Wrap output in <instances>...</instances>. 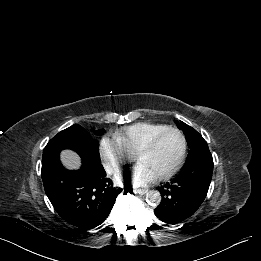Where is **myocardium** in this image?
Returning <instances> with one entry per match:
<instances>
[{
	"instance_id": "f54148a6",
	"label": "myocardium",
	"mask_w": 261,
	"mask_h": 261,
	"mask_svg": "<svg viewBox=\"0 0 261 261\" xmlns=\"http://www.w3.org/2000/svg\"><path fill=\"white\" fill-rule=\"evenodd\" d=\"M170 132H173V133H176L179 135L180 139H181V143H182V147H181V153H180V156H179V159L177 161V163L175 164V166L170 170L168 171L167 173L165 174H162L160 176H157L156 179L157 180H167V179H170L172 178L173 176H175L179 171L180 169L182 168L184 162H185V159H186V153H187V141H186V138L184 136V134L182 133V131H180L179 129L177 128H173V127H168L158 133H156L143 147H141L138 152L135 154V158L136 160L138 161L139 158L141 156H143L144 154H147L148 152H150L156 145V143L158 142V140L164 136L165 134L167 133H170Z\"/></svg>"
}]
</instances>
